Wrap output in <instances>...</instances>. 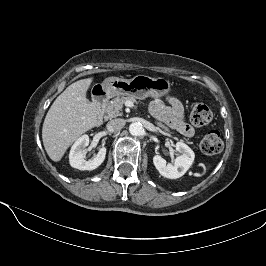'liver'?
Segmentation results:
<instances>
[{
  "label": "liver",
  "instance_id": "obj_1",
  "mask_svg": "<svg viewBox=\"0 0 266 266\" xmlns=\"http://www.w3.org/2000/svg\"><path fill=\"white\" fill-rule=\"evenodd\" d=\"M93 78L69 85L53 102L42 128L44 148L54 162H59L68 147L83 133L97 125L96 108L87 99Z\"/></svg>",
  "mask_w": 266,
  "mask_h": 266
}]
</instances>
